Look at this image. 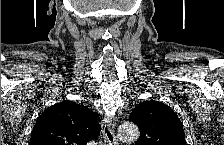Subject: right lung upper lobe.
Instances as JSON below:
<instances>
[{
    "label": "right lung upper lobe",
    "instance_id": "1",
    "mask_svg": "<svg viewBox=\"0 0 224 145\" xmlns=\"http://www.w3.org/2000/svg\"><path fill=\"white\" fill-rule=\"evenodd\" d=\"M99 115L72 101L46 109L33 127L30 145H86L100 133Z\"/></svg>",
    "mask_w": 224,
    "mask_h": 145
}]
</instances>
